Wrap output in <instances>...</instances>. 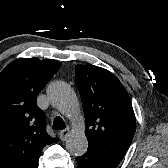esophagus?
<instances>
[{"instance_id":"34e87169","label":"esophagus","mask_w":168,"mask_h":168,"mask_svg":"<svg viewBox=\"0 0 168 168\" xmlns=\"http://www.w3.org/2000/svg\"><path fill=\"white\" fill-rule=\"evenodd\" d=\"M70 135V129L67 127L66 129L60 131L59 136L62 141L67 140Z\"/></svg>"}]
</instances>
